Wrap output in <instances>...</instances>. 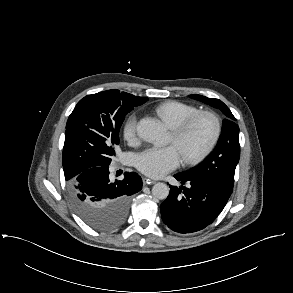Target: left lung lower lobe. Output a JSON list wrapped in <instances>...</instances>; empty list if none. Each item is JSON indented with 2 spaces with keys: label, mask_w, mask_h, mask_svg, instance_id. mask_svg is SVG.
<instances>
[{
  "label": "left lung lower lobe",
  "mask_w": 293,
  "mask_h": 293,
  "mask_svg": "<svg viewBox=\"0 0 293 293\" xmlns=\"http://www.w3.org/2000/svg\"><path fill=\"white\" fill-rule=\"evenodd\" d=\"M174 177L189 188L170 185V193L161 204L163 222L173 231L193 233L211 224L225 207L233 188L212 179L185 173Z\"/></svg>",
  "instance_id": "obj_1"
}]
</instances>
